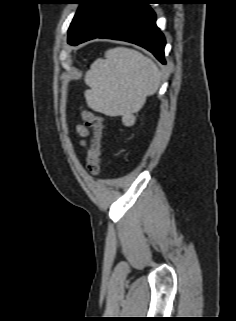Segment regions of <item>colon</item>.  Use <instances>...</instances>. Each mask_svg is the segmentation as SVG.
Masks as SVG:
<instances>
[{
    "label": "colon",
    "instance_id": "5ec220e1",
    "mask_svg": "<svg viewBox=\"0 0 236 321\" xmlns=\"http://www.w3.org/2000/svg\"><path fill=\"white\" fill-rule=\"evenodd\" d=\"M81 116L86 125L93 128V139L91 148L87 157V169L93 174L97 175L100 170V155L102 147V134H103V119L100 115L91 111H82Z\"/></svg>",
    "mask_w": 236,
    "mask_h": 321
}]
</instances>
